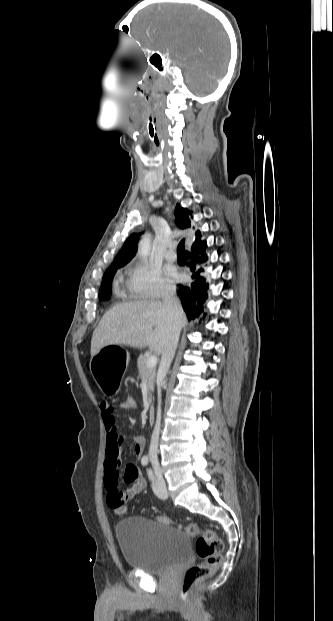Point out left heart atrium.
Instances as JSON below:
<instances>
[{"mask_svg": "<svg viewBox=\"0 0 333 621\" xmlns=\"http://www.w3.org/2000/svg\"><path fill=\"white\" fill-rule=\"evenodd\" d=\"M169 274H170V276H172V277H174V278H176V277H177L176 272H175V271H173V270H170V271H169Z\"/></svg>", "mask_w": 333, "mask_h": 621, "instance_id": "1", "label": "left heart atrium"}]
</instances>
